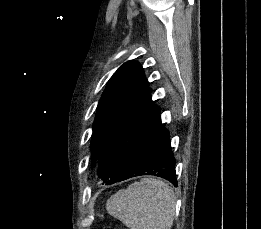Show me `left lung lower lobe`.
Listing matches in <instances>:
<instances>
[{
	"label": "left lung lower lobe",
	"instance_id": "obj_1",
	"mask_svg": "<svg viewBox=\"0 0 261 229\" xmlns=\"http://www.w3.org/2000/svg\"><path fill=\"white\" fill-rule=\"evenodd\" d=\"M168 130L161 124L160 108L152 101L108 149L98 166V177L113 184L154 175L177 186L176 159Z\"/></svg>",
	"mask_w": 261,
	"mask_h": 229
}]
</instances>
